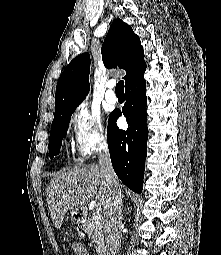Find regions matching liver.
<instances>
[{
    "label": "liver",
    "mask_w": 221,
    "mask_h": 255,
    "mask_svg": "<svg viewBox=\"0 0 221 255\" xmlns=\"http://www.w3.org/2000/svg\"><path fill=\"white\" fill-rule=\"evenodd\" d=\"M116 182L119 184L118 178ZM112 184L108 183L99 165H79L54 173L46 190V199L54 226H62L69 210H86L95 197L105 210L111 198Z\"/></svg>",
    "instance_id": "1"
}]
</instances>
